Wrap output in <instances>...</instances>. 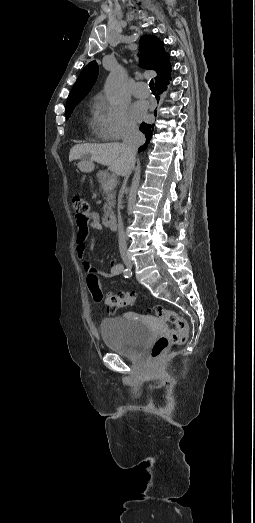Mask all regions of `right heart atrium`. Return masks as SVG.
I'll use <instances>...</instances> for the list:
<instances>
[{
  "label": "right heart atrium",
  "mask_w": 255,
  "mask_h": 523,
  "mask_svg": "<svg viewBox=\"0 0 255 523\" xmlns=\"http://www.w3.org/2000/svg\"><path fill=\"white\" fill-rule=\"evenodd\" d=\"M105 112L111 136L115 139H125L137 133V124L131 117L126 103L110 102L107 104Z\"/></svg>",
  "instance_id": "1"
}]
</instances>
